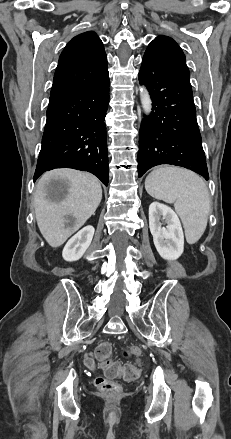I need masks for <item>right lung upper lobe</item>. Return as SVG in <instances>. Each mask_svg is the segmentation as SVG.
<instances>
[{
    "label": "right lung upper lobe",
    "instance_id": "obj_1",
    "mask_svg": "<svg viewBox=\"0 0 231 439\" xmlns=\"http://www.w3.org/2000/svg\"><path fill=\"white\" fill-rule=\"evenodd\" d=\"M108 75L107 57L93 31L71 39L59 57L50 93V103L63 99Z\"/></svg>",
    "mask_w": 231,
    "mask_h": 439
}]
</instances>
